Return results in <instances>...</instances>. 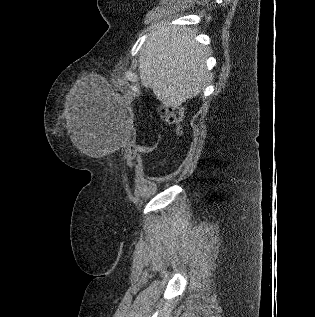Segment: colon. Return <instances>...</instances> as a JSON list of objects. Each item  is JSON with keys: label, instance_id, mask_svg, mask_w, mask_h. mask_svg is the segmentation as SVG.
Here are the masks:
<instances>
[{"label": "colon", "instance_id": "5ec220e1", "mask_svg": "<svg viewBox=\"0 0 315 317\" xmlns=\"http://www.w3.org/2000/svg\"><path fill=\"white\" fill-rule=\"evenodd\" d=\"M160 116L165 123L179 125L183 120V110L181 108H162ZM154 148V145H137L130 149V155L135 157L138 154L150 153Z\"/></svg>", "mask_w": 315, "mask_h": 317}]
</instances>
